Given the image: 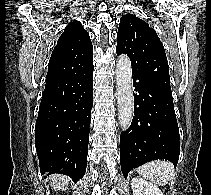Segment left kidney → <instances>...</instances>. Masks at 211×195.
<instances>
[{"label": "left kidney", "mask_w": 211, "mask_h": 195, "mask_svg": "<svg viewBox=\"0 0 211 195\" xmlns=\"http://www.w3.org/2000/svg\"><path fill=\"white\" fill-rule=\"evenodd\" d=\"M131 189L133 195H163L157 186L142 178H132Z\"/></svg>", "instance_id": "1"}]
</instances>
